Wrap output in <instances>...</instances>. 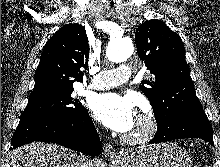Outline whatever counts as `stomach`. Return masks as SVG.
<instances>
[{"mask_svg": "<svg viewBox=\"0 0 220 167\" xmlns=\"http://www.w3.org/2000/svg\"><path fill=\"white\" fill-rule=\"evenodd\" d=\"M116 167H192L187 152L175 143H162L126 151L113 161Z\"/></svg>", "mask_w": 220, "mask_h": 167, "instance_id": "obj_1", "label": "stomach"}]
</instances>
